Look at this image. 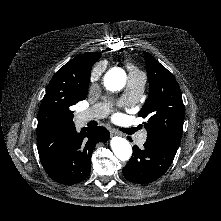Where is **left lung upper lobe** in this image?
<instances>
[{"label": "left lung upper lobe", "mask_w": 221, "mask_h": 221, "mask_svg": "<svg viewBox=\"0 0 221 221\" xmlns=\"http://www.w3.org/2000/svg\"><path fill=\"white\" fill-rule=\"evenodd\" d=\"M149 96L138 116L147 119V141L180 143L185 107L178 82L174 76L149 53L144 52Z\"/></svg>", "instance_id": "1"}]
</instances>
